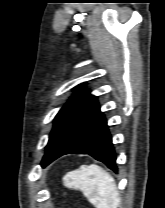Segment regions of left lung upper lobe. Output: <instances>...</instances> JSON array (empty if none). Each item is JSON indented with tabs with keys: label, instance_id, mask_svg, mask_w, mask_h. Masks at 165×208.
Here are the masks:
<instances>
[{
	"label": "left lung upper lobe",
	"instance_id": "5c2ea615",
	"mask_svg": "<svg viewBox=\"0 0 165 208\" xmlns=\"http://www.w3.org/2000/svg\"><path fill=\"white\" fill-rule=\"evenodd\" d=\"M83 85L76 86L74 95L54 119V127L41 162L43 167L64 155L84 124L100 110L97 97L86 92Z\"/></svg>",
	"mask_w": 165,
	"mask_h": 208
}]
</instances>
